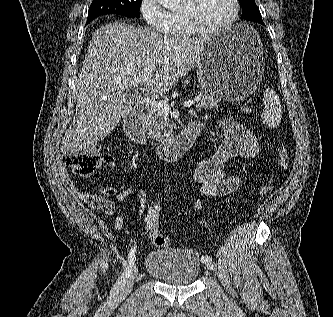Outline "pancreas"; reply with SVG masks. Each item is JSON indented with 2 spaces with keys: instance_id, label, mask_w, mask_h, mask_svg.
<instances>
[{
  "instance_id": "cf45deb5",
  "label": "pancreas",
  "mask_w": 333,
  "mask_h": 317,
  "mask_svg": "<svg viewBox=\"0 0 333 317\" xmlns=\"http://www.w3.org/2000/svg\"><path fill=\"white\" fill-rule=\"evenodd\" d=\"M199 96L201 99L196 105L198 111H207L211 108L219 107V100L215 96L203 93V91L199 92ZM145 120L150 137L156 140H169L173 137L172 129L174 128V124L166 114L151 107L145 116Z\"/></svg>"
}]
</instances>
